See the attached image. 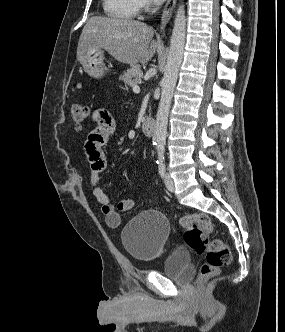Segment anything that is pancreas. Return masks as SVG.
<instances>
[{
    "instance_id": "1",
    "label": "pancreas",
    "mask_w": 285,
    "mask_h": 332,
    "mask_svg": "<svg viewBox=\"0 0 285 332\" xmlns=\"http://www.w3.org/2000/svg\"><path fill=\"white\" fill-rule=\"evenodd\" d=\"M143 78V72L141 70L140 65L135 64L131 65L128 69H126L123 72V75L121 76V80L125 84V88L127 87H133L140 83L141 79Z\"/></svg>"
}]
</instances>
